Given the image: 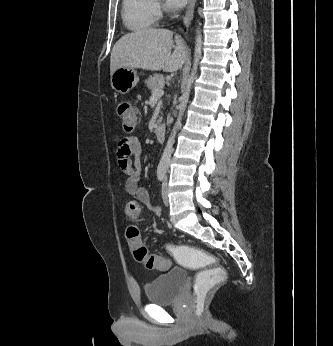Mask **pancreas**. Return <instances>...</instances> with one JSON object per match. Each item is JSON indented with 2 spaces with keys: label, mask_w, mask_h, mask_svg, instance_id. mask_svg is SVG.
Listing matches in <instances>:
<instances>
[{
  "label": "pancreas",
  "mask_w": 333,
  "mask_h": 346,
  "mask_svg": "<svg viewBox=\"0 0 333 346\" xmlns=\"http://www.w3.org/2000/svg\"><path fill=\"white\" fill-rule=\"evenodd\" d=\"M147 87L153 92L156 89L162 88L164 86V77L162 74H154L148 78L146 81ZM161 122L159 118L158 123Z\"/></svg>",
  "instance_id": "pancreas-1"
}]
</instances>
